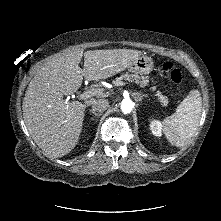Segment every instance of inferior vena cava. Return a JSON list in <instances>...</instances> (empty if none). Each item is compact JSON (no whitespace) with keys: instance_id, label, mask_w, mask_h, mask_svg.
Instances as JSON below:
<instances>
[{"instance_id":"obj_1","label":"inferior vena cava","mask_w":221,"mask_h":221,"mask_svg":"<svg viewBox=\"0 0 221 221\" xmlns=\"http://www.w3.org/2000/svg\"><path fill=\"white\" fill-rule=\"evenodd\" d=\"M91 104H92L91 110L96 113H102L109 107L108 100L104 98L94 100Z\"/></svg>"}]
</instances>
